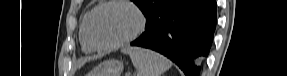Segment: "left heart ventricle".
<instances>
[{"mask_svg":"<svg viewBox=\"0 0 287 76\" xmlns=\"http://www.w3.org/2000/svg\"><path fill=\"white\" fill-rule=\"evenodd\" d=\"M137 23V16L129 7L113 4L99 9L93 15L91 33L100 43H113L129 35Z\"/></svg>","mask_w":287,"mask_h":76,"instance_id":"1","label":"left heart ventricle"}]
</instances>
